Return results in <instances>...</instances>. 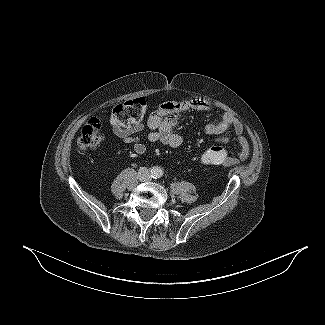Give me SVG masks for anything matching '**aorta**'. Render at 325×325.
I'll use <instances>...</instances> for the list:
<instances>
[{
    "label": "aorta",
    "instance_id": "762f6f07",
    "mask_svg": "<svg viewBox=\"0 0 325 325\" xmlns=\"http://www.w3.org/2000/svg\"><path fill=\"white\" fill-rule=\"evenodd\" d=\"M159 173V176H161L163 173H162V170L161 169H159V171H158Z\"/></svg>",
    "mask_w": 325,
    "mask_h": 325
}]
</instances>
